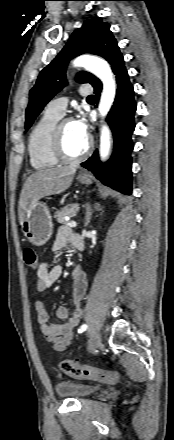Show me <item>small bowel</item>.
Here are the masks:
<instances>
[{"instance_id":"1","label":"small bowel","mask_w":174,"mask_h":440,"mask_svg":"<svg viewBox=\"0 0 174 440\" xmlns=\"http://www.w3.org/2000/svg\"><path fill=\"white\" fill-rule=\"evenodd\" d=\"M77 237L70 228L61 226L58 229L52 250L59 252L68 245L75 246ZM36 275L33 305L37 312L40 331L55 350L62 351L72 343L74 330L83 313L82 301L87 290L86 274L80 266H76L72 270V311L69 312L65 306H59L56 311V315L60 320L58 323L48 322L49 315L44 307L41 295L61 277L62 267L60 265L48 266L47 263L42 262Z\"/></svg>"}]
</instances>
